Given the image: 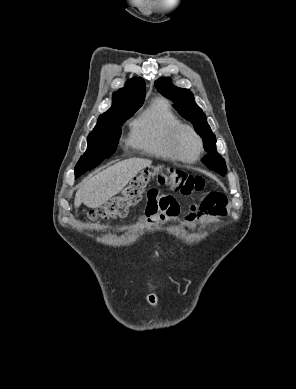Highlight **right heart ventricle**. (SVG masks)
Returning <instances> with one entry per match:
<instances>
[{"label":"right heart ventricle","instance_id":"1","mask_svg":"<svg viewBox=\"0 0 296 389\" xmlns=\"http://www.w3.org/2000/svg\"><path fill=\"white\" fill-rule=\"evenodd\" d=\"M179 123L181 121L169 102L158 98L131 121L127 142L149 156L173 160L168 138L173 127Z\"/></svg>","mask_w":296,"mask_h":389}]
</instances>
